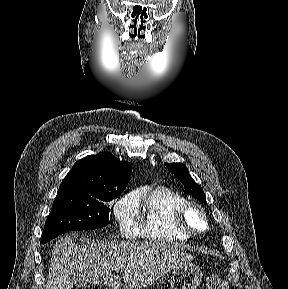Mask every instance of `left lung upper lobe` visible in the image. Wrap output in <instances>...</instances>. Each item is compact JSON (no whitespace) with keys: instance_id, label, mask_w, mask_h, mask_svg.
Returning a JSON list of instances; mask_svg holds the SVG:
<instances>
[{"instance_id":"5c2ea615","label":"left lung upper lobe","mask_w":288,"mask_h":289,"mask_svg":"<svg viewBox=\"0 0 288 289\" xmlns=\"http://www.w3.org/2000/svg\"><path fill=\"white\" fill-rule=\"evenodd\" d=\"M166 166L174 173V175L184 184L186 193L206 203L205 194L200 185H198L190 176L187 167L182 163H166Z\"/></svg>"}]
</instances>
